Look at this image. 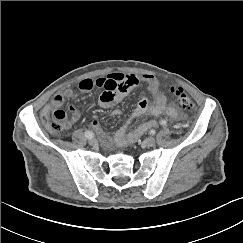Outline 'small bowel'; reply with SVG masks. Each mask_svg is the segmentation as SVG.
<instances>
[{
  "label": "small bowel",
  "instance_id": "small-bowel-1",
  "mask_svg": "<svg viewBox=\"0 0 243 243\" xmlns=\"http://www.w3.org/2000/svg\"><path fill=\"white\" fill-rule=\"evenodd\" d=\"M137 85L147 86V91L152 99V104L148 103L147 98H142L138 102L137 107L126 120L125 124L120 127L114 135V141L119 145L135 141L144 132L156 125L155 121H146L132 131H129V126L133 120L143 115H167L176 120L180 116L178 110L174 106L167 104L158 80L150 74L124 75L121 73H111L106 77H99L96 79L85 78L78 83V89L83 93L89 92L94 88H101L103 91L99 96L98 104L103 108L111 107L119 103ZM74 94V90L68 88L62 93L55 95L51 103L43 108L42 114L46 115L51 111L59 110L63 105L65 98L73 97ZM69 112L71 115L67 120L68 127L80 119V110L76 105H69ZM113 114L118 116L121 114V110L116 109L113 111ZM91 127L102 138L105 144L108 145L110 143V140L103 132L97 117L92 118Z\"/></svg>",
  "mask_w": 243,
  "mask_h": 243
}]
</instances>
